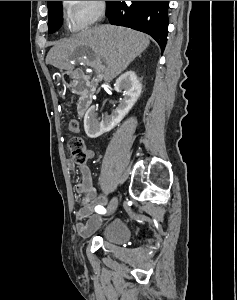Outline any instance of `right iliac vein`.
<instances>
[{
	"label": "right iliac vein",
	"mask_w": 237,
	"mask_h": 300,
	"mask_svg": "<svg viewBox=\"0 0 237 300\" xmlns=\"http://www.w3.org/2000/svg\"><path fill=\"white\" fill-rule=\"evenodd\" d=\"M117 205H118V199L114 197L109 203V205L107 206V215L112 214L116 210Z\"/></svg>",
	"instance_id": "obj_1"
}]
</instances>
